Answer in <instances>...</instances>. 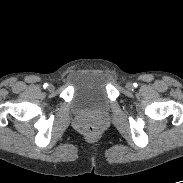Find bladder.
Listing matches in <instances>:
<instances>
[{
	"mask_svg": "<svg viewBox=\"0 0 183 183\" xmlns=\"http://www.w3.org/2000/svg\"><path fill=\"white\" fill-rule=\"evenodd\" d=\"M106 75L102 71H82L74 78L72 107L75 111H104L110 104Z\"/></svg>",
	"mask_w": 183,
	"mask_h": 183,
	"instance_id": "31cf9c89",
	"label": "bladder"
}]
</instances>
